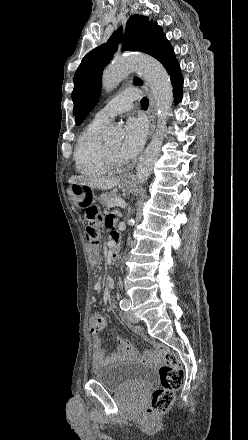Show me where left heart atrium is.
<instances>
[{
  "mask_svg": "<svg viewBox=\"0 0 248 440\" xmlns=\"http://www.w3.org/2000/svg\"><path fill=\"white\" fill-rule=\"evenodd\" d=\"M124 130V139L121 142L119 154L124 161H129L142 149L147 135V128L142 119L130 118L126 122Z\"/></svg>",
  "mask_w": 248,
  "mask_h": 440,
  "instance_id": "left-heart-atrium-1",
  "label": "left heart atrium"
}]
</instances>
